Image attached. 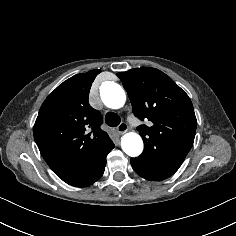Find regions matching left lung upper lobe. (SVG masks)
Wrapping results in <instances>:
<instances>
[{
	"label": "left lung upper lobe",
	"instance_id": "left-lung-upper-lobe-1",
	"mask_svg": "<svg viewBox=\"0 0 236 236\" xmlns=\"http://www.w3.org/2000/svg\"><path fill=\"white\" fill-rule=\"evenodd\" d=\"M117 76L128 93L135 116L153 123L150 127H138L144 142L141 155L183 162L193 145L197 127L188 95L155 68H135Z\"/></svg>",
	"mask_w": 236,
	"mask_h": 236
}]
</instances>
